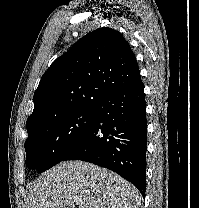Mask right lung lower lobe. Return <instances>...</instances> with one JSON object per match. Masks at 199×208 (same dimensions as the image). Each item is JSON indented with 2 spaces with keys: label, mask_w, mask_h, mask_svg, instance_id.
I'll use <instances>...</instances> for the list:
<instances>
[{
  "label": "right lung lower lobe",
  "mask_w": 199,
  "mask_h": 208,
  "mask_svg": "<svg viewBox=\"0 0 199 208\" xmlns=\"http://www.w3.org/2000/svg\"><path fill=\"white\" fill-rule=\"evenodd\" d=\"M141 77L103 98L86 134L62 161L83 160L108 168L145 197L147 121Z\"/></svg>",
  "instance_id": "98d812e1"
}]
</instances>
